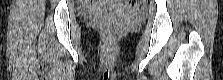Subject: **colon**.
<instances>
[{
    "mask_svg": "<svg viewBox=\"0 0 223 80\" xmlns=\"http://www.w3.org/2000/svg\"><path fill=\"white\" fill-rule=\"evenodd\" d=\"M128 3L134 8H140L144 5V0H129ZM104 35L108 40H111L115 36V32L112 29H105Z\"/></svg>",
    "mask_w": 223,
    "mask_h": 80,
    "instance_id": "5ec220e1",
    "label": "colon"
}]
</instances>
